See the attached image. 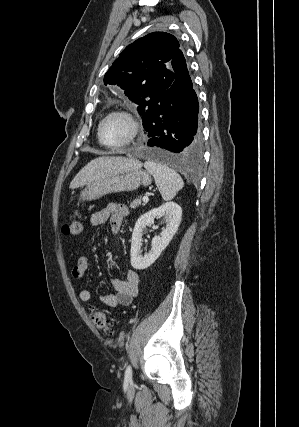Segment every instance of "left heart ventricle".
Segmentation results:
<instances>
[{
    "label": "left heart ventricle",
    "instance_id": "1",
    "mask_svg": "<svg viewBox=\"0 0 299 427\" xmlns=\"http://www.w3.org/2000/svg\"><path fill=\"white\" fill-rule=\"evenodd\" d=\"M130 134V125L122 116L108 118L101 128V139L107 144H119L126 140Z\"/></svg>",
    "mask_w": 299,
    "mask_h": 427
}]
</instances>
